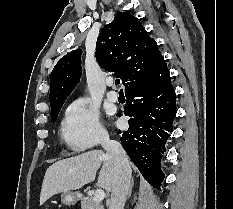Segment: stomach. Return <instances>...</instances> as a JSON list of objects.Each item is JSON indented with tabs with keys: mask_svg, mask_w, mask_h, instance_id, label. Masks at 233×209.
<instances>
[{
	"mask_svg": "<svg viewBox=\"0 0 233 209\" xmlns=\"http://www.w3.org/2000/svg\"><path fill=\"white\" fill-rule=\"evenodd\" d=\"M80 199V194L78 192H63L61 194V202L66 206H73Z\"/></svg>",
	"mask_w": 233,
	"mask_h": 209,
	"instance_id": "0dacf381",
	"label": "stomach"
}]
</instances>
